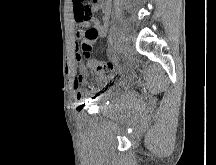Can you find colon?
Segmentation results:
<instances>
[{
  "label": "colon",
  "mask_w": 216,
  "mask_h": 165,
  "mask_svg": "<svg viewBox=\"0 0 216 165\" xmlns=\"http://www.w3.org/2000/svg\"><path fill=\"white\" fill-rule=\"evenodd\" d=\"M79 2H85L84 0H78ZM91 16V13H81V17L84 19H88ZM85 38L81 42L78 51V60L85 61L88 67L94 72L107 75L110 74L114 66L111 63H106L103 61L95 60L91 57V44L90 41L93 40L97 36V30L95 28H90L85 31Z\"/></svg>",
  "instance_id": "1"
}]
</instances>
